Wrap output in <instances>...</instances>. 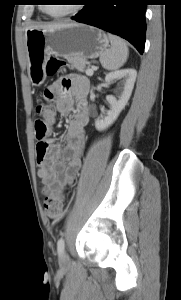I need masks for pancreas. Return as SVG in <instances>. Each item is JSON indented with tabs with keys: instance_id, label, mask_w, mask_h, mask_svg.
Returning a JSON list of instances; mask_svg holds the SVG:
<instances>
[{
	"instance_id": "1",
	"label": "pancreas",
	"mask_w": 181,
	"mask_h": 300,
	"mask_svg": "<svg viewBox=\"0 0 181 300\" xmlns=\"http://www.w3.org/2000/svg\"><path fill=\"white\" fill-rule=\"evenodd\" d=\"M69 63L74 67L76 68L78 71L80 72H86L87 70L85 69L86 68V61L80 59V58H77V57H72L69 59Z\"/></svg>"
}]
</instances>
